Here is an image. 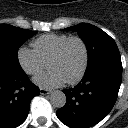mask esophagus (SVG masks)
Segmentation results:
<instances>
[{"label":"esophagus","mask_w":128,"mask_h":128,"mask_svg":"<svg viewBox=\"0 0 128 128\" xmlns=\"http://www.w3.org/2000/svg\"><path fill=\"white\" fill-rule=\"evenodd\" d=\"M51 91L44 89V88H40V94L41 95H46V94H50Z\"/></svg>","instance_id":"obj_1"}]
</instances>
